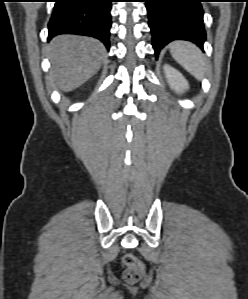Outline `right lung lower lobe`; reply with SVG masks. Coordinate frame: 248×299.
I'll list each match as a JSON object with an SVG mask.
<instances>
[{"label": "right lung lower lobe", "mask_w": 248, "mask_h": 299, "mask_svg": "<svg viewBox=\"0 0 248 299\" xmlns=\"http://www.w3.org/2000/svg\"><path fill=\"white\" fill-rule=\"evenodd\" d=\"M112 0H56L48 38L77 34L99 39L109 49Z\"/></svg>", "instance_id": "1"}]
</instances>
